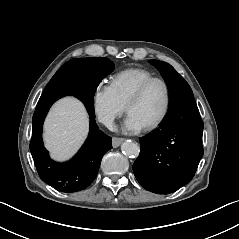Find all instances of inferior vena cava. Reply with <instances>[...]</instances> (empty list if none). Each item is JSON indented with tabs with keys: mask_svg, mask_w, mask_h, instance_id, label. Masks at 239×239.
<instances>
[{
	"mask_svg": "<svg viewBox=\"0 0 239 239\" xmlns=\"http://www.w3.org/2000/svg\"><path fill=\"white\" fill-rule=\"evenodd\" d=\"M104 125H105L110 131H112V132H114V131L117 130V127H116L114 121L111 120V119H106V120L104 121Z\"/></svg>",
	"mask_w": 239,
	"mask_h": 239,
	"instance_id": "inferior-vena-cava-1",
	"label": "inferior vena cava"
}]
</instances>
